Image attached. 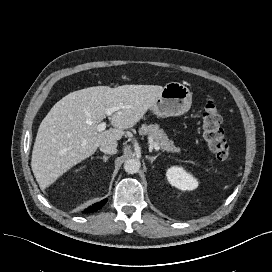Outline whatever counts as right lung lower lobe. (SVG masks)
<instances>
[{
    "label": "right lung lower lobe",
    "instance_id": "98d812e1",
    "mask_svg": "<svg viewBox=\"0 0 272 272\" xmlns=\"http://www.w3.org/2000/svg\"><path fill=\"white\" fill-rule=\"evenodd\" d=\"M106 202H107V199H104V200L100 201L99 203H96V204L90 206L88 209H86L84 211V213L95 212V211L99 210Z\"/></svg>",
    "mask_w": 272,
    "mask_h": 272
}]
</instances>
